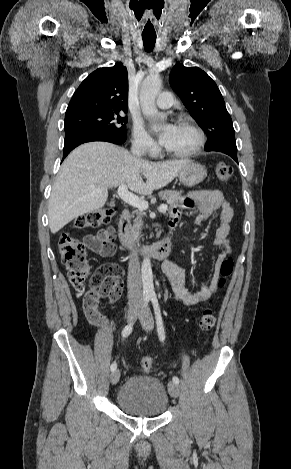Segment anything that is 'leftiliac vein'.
<instances>
[{
    "instance_id": "obj_1",
    "label": "left iliac vein",
    "mask_w": 291,
    "mask_h": 469,
    "mask_svg": "<svg viewBox=\"0 0 291 469\" xmlns=\"http://www.w3.org/2000/svg\"><path fill=\"white\" fill-rule=\"evenodd\" d=\"M139 320L142 324V327L146 331H151L153 329L154 321H153L151 311L148 307L142 308L139 314ZM168 389H169L170 395L173 398H177L179 396V387L174 382H169Z\"/></svg>"
}]
</instances>
